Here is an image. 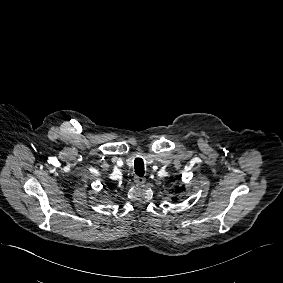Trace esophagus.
<instances>
[{"mask_svg":"<svg viewBox=\"0 0 283 283\" xmlns=\"http://www.w3.org/2000/svg\"><path fill=\"white\" fill-rule=\"evenodd\" d=\"M146 182V179L144 177H140V176H135L134 177V183L136 185H142Z\"/></svg>","mask_w":283,"mask_h":283,"instance_id":"1","label":"esophagus"}]
</instances>
